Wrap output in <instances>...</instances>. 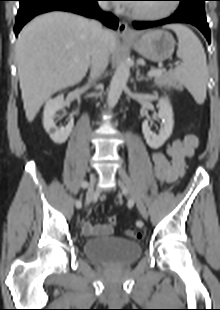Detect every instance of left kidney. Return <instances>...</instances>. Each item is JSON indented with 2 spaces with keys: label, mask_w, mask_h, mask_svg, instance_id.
<instances>
[{
  "label": "left kidney",
  "mask_w": 220,
  "mask_h": 310,
  "mask_svg": "<svg viewBox=\"0 0 220 310\" xmlns=\"http://www.w3.org/2000/svg\"><path fill=\"white\" fill-rule=\"evenodd\" d=\"M159 112L154 118L161 119V128L159 134L156 135L151 131V128L148 124V120H145L142 123V132L144 134V138L146 139L147 144L153 148H160L166 140L171 136L173 131V111L172 106L168 98H161L159 100Z\"/></svg>",
  "instance_id": "5707ae66"
}]
</instances>
